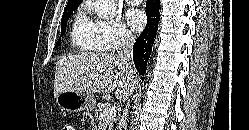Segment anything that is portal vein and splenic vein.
<instances>
[{"label":"portal vein and splenic vein","mask_w":249,"mask_h":130,"mask_svg":"<svg viewBox=\"0 0 249 130\" xmlns=\"http://www.w3.org/2000/svg\"><path fill=\"white\" fill-rule=\"evenodd\" d=\"M115 114H116V107L112 106L107 111H105L101 117L104 121H109L114 118Z\"/></svg>","instance_id":"obj_1"}]
</instances>
